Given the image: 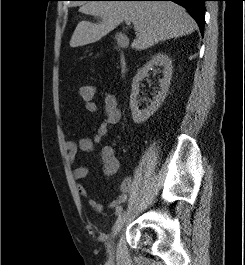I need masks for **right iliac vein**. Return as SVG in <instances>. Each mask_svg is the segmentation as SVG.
<instances>
[{
  "label": "right iliac vein",
  "mask_w": 245,
  "mask_h": 265,
  "mask_svg": "<svg viewBox=\"0 0 245 265\" xmlns=\"http://www.w3.org/2000/svg\"><path fill=\"white\" fill-rule=\"evenodd\" d=\"M128 214L129 213L127 211H124L123 213H121L112 227V232L110 234V238L107 243V253L110 259H113L114 257V238L124 226L128 218Z\"/></svg>",
  "instance_id": "obj_1"
}]
</instances>
